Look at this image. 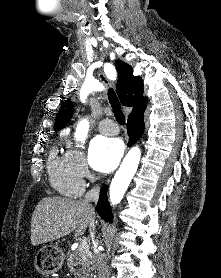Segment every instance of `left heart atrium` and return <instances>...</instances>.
<instances>
[{
	"label": "left heart atrium",
	"mask_w": 221,
	"mask_h": 278,
	"mask_svg": "<svg viewBox=\"0 0 221 278\" xmlns=\"http://www.w3.org/2000/svg\"><path fill=\"white\" fill-rule=\"evenodd\" d=\"M123 153L122 141L118 138L95 137L89 149L92 167L100 173H109L116 168Z\"/></svg>",
	"instance_id": "1"
}]
</instances>
